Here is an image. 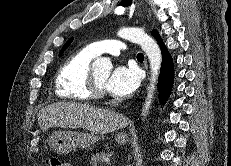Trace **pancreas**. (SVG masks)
<instances>
[{
  "label": "pancreas",
  "mask_w": 231,
  "mask_h": 166,
  "mask_svg": "<svg viewBox=\"0 0 231 166\" xmlns=\"http://www.w3.org/2000/svg\"><path fill=\"white\" fill-rule=\"evenodd\" d=\"M110 153L100 152L91 156L90 163L92 166H98L105 158L109 157Z\"/></svg>",
  "instance_id": "pancreas-1"
}]
</instances>
